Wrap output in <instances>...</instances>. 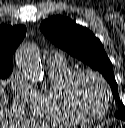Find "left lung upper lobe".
<instances>
[{
    "label": "left lung upper lobe",
    "instance_id": "left-lung-upper-lobe-1",
    "mask_svg": "<svg viewBox=\"0 0 125 128\" xmlns=\"http://www.w3.org/2000/svg\"><path fill=\"white\" fill-rule=\"evenodd\" d=\"M40 29L56 46L98 70L106 78L113 89L115 99L120 103L112 63L100 40L89 29L59 15L44 20ZM116 117L125 121L124 106L116 113Z\"/></svg>",
    "mask_w": 125,
    "mask_h": 128
}]
</instances>
